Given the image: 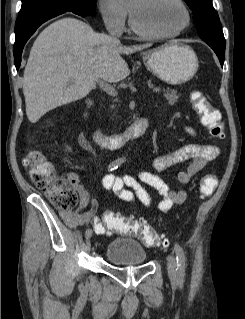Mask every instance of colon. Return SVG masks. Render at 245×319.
Here are the masks:
<instances>
[{
  "mask_svg": "<svg viewBox=\"0 0 245 319\" xmlns=\"http://www.w3.org/2000/svg\"><path fill=\"white\" fill-rule=\"evenodd\" d=\"M192 103L209 134L214 138H224L225 128L219 111L199 92L192 94ZM25 165L37 188L46 194L55 208L65 212L76 208L78 196L70 183L69 176L56 177L53 166L38 152H30L26 156ZM216 185L217 178L214 174L209 173L204 176L201 182L202 195H210ZM103 220L109 230L134 235L147 247L161 245L158 233L145 220L134 219L113 211L105 212Z\"/></svg>",
  "mask_w": 245,
  "mask_h": 319,
  "instance_id": "5ec220e1",
  "label": "colon"
}]
</instances>
